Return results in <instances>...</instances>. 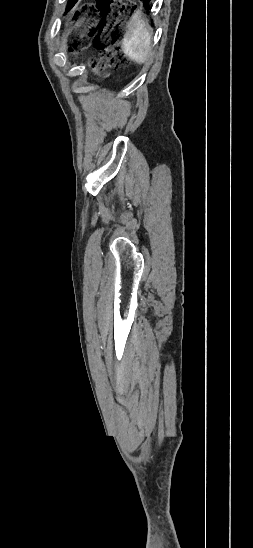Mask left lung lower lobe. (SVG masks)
<instances>
[{"instance_id": "0a47b994", "label": "left lung lower lobe", "mask_w": 253, "mask_h": 548, "mask_svg": "<svg viewBox=\"0 0 253 548\" xmlns=\"http://www.w3.org/2000/svg\"><path fill=\"white\" fill-rule=\"evenodd\" d=\"M77 1H78V0H69V1H68V5H67V9H66V10L68 11L69 9H71V8L73 7V5H74ZM142 1H143V3H144L145 5H148V3L150 2V0H142Z\"/></svg>"}]
</instances>
